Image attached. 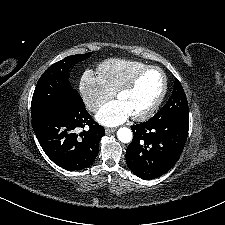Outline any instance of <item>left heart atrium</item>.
Segmentation results:
<instances>
[{
    "instance_id": "1",
    "label": "left heart atrium",
    "mask_w": 225,
    "mask_h": 225,
    "mask_svg": "<svg viewBox=\"0 0 225 225\" xmlns=\"http://www.w3.org/2000/svg\"><path fill=\"white\" fill-rule=\"evenodd\" d=\"M130 113L119 101H111L105 104L97 113L96 119L105 126H116L125 122Z\"/></svg>"
}]
</instances>
